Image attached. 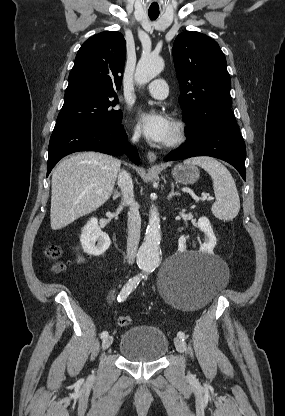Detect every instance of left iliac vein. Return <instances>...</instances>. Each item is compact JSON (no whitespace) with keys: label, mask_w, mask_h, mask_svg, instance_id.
I'll return each instance as SVG.
<instances>
[{"label":"left iliac vein","mask_w":285,"mask_h":416,"mask_svg":"<svg viewBox=\"0 0 285 416\" xmlns=\"http://www.w3.org/2000/svg\"><path fill=\"white\" fill-rule=\"evenodd\" d=\"M174 343H175V347L178 350V352H180V353H185L186 352V344L182 339L175 338Z\"/></svg>","instance_id":"left-iliac-vein-1"}]
</instances>
